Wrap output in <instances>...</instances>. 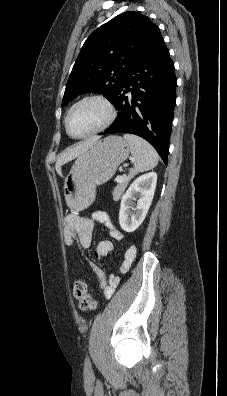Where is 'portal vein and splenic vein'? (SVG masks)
Returning a JSON list of instances; mask_svg holds the SVG:
<instances>
[{
    "label": "portal vein and splenic vein",
    "mask_w": 227,
    "mask_h": 396,
    "mask_svg": "<svg viewBox=\"0 0 227 396\" xmlns=\"http://www.w3.org/2000/svg\"><path fill=\"white\" fill-rule=\"evenodd\" d=\"M123 178H124L123 176H117L116 181L117 182H122Z\"/></svg>",
    "instance_id": "obj_1"
}]
</instances>
